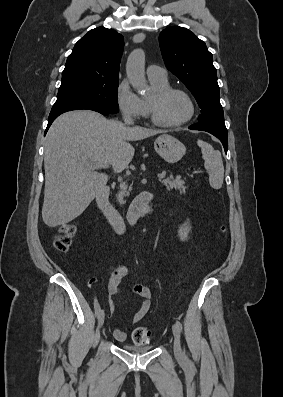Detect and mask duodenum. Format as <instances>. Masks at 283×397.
<instances>
[{"instance_id":"duodenum-1","label":"duodenum","mask_w":283,"mask_h":397,"mask_svg":"<svg viewBox=\"0 0 283 397\" xmlns=\"http://www.w3.org/2000/svg\"><path fill=\"white\" fill-rule=\"evenodd\" d=\"M96 202L114 230L123 234L127 225H134L137 222L149 217L155 210L152 195L149 192H142L132 201L127 215V220L119 213V211L109 201V187H102L96 196Z\"/></svg>"}]
</instances>
